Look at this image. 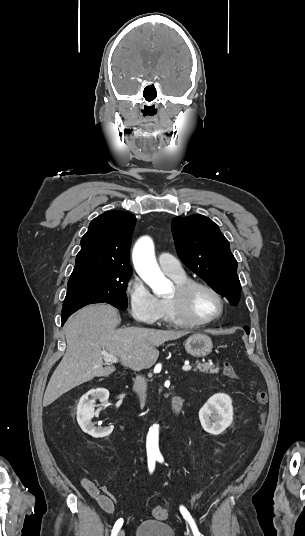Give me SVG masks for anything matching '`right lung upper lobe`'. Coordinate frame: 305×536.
<instances>
[{
  "label": "right lung upper lobe",
  "instance_id": "1",
  "mask_svg": "<svg viewBox=\"0 0 305 536\" xmlns=\"http://www.w3.org/2000/svg\"><path fill=\"white\" fill-rule=\"evenodd\" d=\"M135 223V216L125 211H109L93 219L81 239L71 277L132 272L129 249Z\"/></svg>",
  "mask_w": 305,
  "mask_h": 536
}]
</instances>
